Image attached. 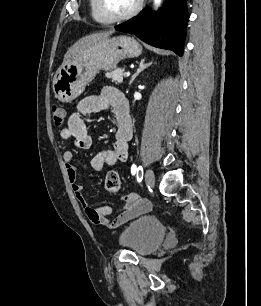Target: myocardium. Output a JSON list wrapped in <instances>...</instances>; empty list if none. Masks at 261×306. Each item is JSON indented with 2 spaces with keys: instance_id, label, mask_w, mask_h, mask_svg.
<instances>
[{
  "instance_id": "obj_1",
  "label": "myocardium",
  "mask_w": 261,
  "mask_h": 306,
  "mask_svg": "<svg viewBox=\"0 0 261 306\" xmlns=\"http://www.w3.org/2000/svg\"><path fill=\"white\" fill-rule=\"evenodd\" d=\"M98 9L101 12V14L110 22H119L128 20L132 17H134L139 11L142 9L144 0H138L136 5L127 13L117 15L111 12V10L108 8L106 0H97Z\"/></svg>"
}]
</instances>
